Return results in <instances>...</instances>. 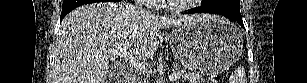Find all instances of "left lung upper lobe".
<instances>
[{"instance_id":"5c2ea615","label":"left lung upper lobe","mask_w":307,"mask_h":83,"mask_svg":"<svg viewBox=\"0 0 307 83\" xmlns=\"http://www.w3.org/2000/svg\"><path fill=\"white\" fill-rule=\"evenodd\" d=\"M202 1L209 3L215 8L229 5L233 7L235 10L240 11V0H202Z\"/></svg>"}]
</instances>
